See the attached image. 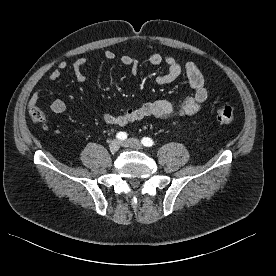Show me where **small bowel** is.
<instances>
[{
	"mask_svg": "<svg viewBox=\"0 0 276 276\" xmlns=\"http://www.w3.org/2000/svg\"><path fill=\"white\" fill-rule=\"evenodd\" d=\"M104 57L105 59L112 61L116 58V54L111 50H107L104 52ZM120 62L122 65L128 67L133 75L138 74L139 62L137 59L129 55H123L120 58ZM147 62L154 66L164 64L167 67L166 73L156 77V83L158 85L169 84L184 73L190 87L193 90L192 95L185 98L176 106L166 100H157L146 103L136 109H129L118 116L104 114L102 118L105 123L125 126L151 116L163 119L189 116L197 113L207 101L208 91L205 86L204 78L195 63L190 61L182 66L175 58L171 56H162L158 53L148 55ZM86 64L87 60L83 56L76 58L72 64L74 76L79 83H84L87 80L85 72ZM67 67L68 63L66 61H60L57 68L52 70L49 74L48 83L51 84L57 81ZM38 101L39 91L35 90L31 95L30 103L34 105ZM50 108L53 113L62 114L66 110V104L63 100L56 99L51 103Z\"/></svg>",
	"mask_w": 276,
	"mask_h": 276,
	"instance_id": "c3829d8e",
	"label": "small bowel"
}]
</instances>
